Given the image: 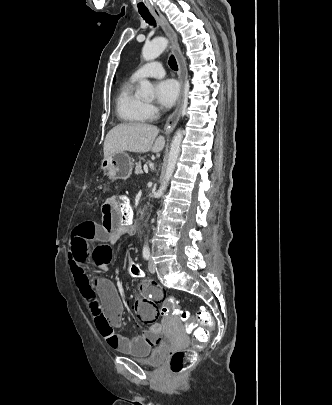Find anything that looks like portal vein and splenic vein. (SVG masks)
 Listing matches in <instances>:
<instances>
[{"instance_id":"1","label":"portal vein and splenic vein","mask_w":332,"mask_h":405,"mask_svg":"<svg viewBox=\"0 0 332 405\" xmlns=\"http://www.w3.org/2000/svg\"><path fill=\"white\" fill-rule=\"evenodd\" d=\"M144 171H145L146 173H148V168H147V166L144 167Z\"/></svg>"}]
</instances>
